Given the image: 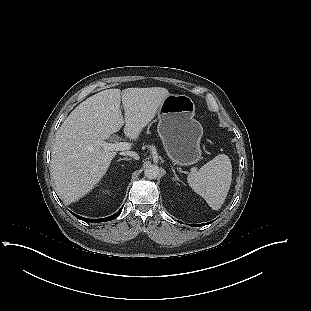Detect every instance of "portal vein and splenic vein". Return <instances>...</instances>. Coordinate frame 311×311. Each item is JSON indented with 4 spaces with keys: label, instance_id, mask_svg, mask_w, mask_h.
<instances>
[{
    "label": "portal vein and splenic vein",
    "instance_id": "obj_1",
    "mask_svg": "<svg viewBox=\"0 0 311 311\" xmlns=\"http://www.w3.org/2000/svg\"><path fill=\"white\" fill-rule=\"evenodd\" d=\"M102 146L105 150L111 151H123L130 149V144L126 142H116V143L103 142Z\"/></svg>",
    "mask_w": 311,
    "mask_h": 311
}]
</instances>
